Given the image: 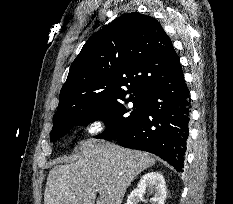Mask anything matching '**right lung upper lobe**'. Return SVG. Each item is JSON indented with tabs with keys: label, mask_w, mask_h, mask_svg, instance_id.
Masks as SVG:
<instances>
[{
	"label": "right lung upper lobe",
	"mask_w": 233,
	"mask_h": 204,
	"mask_svg": "<svg viewBox=\"0 0 233 204\" xmlns=\"http://www.w3.org/2000/svg\"><path fill=\"white\" fill-rule=\"evenodd\" d=\"M179 62L155 18L138 12L122 15L93 34L72 63L53 123L128 93L146 96Z\"/></svg>",
	"instance_id": "right-lung-upper-lobe-1"
}]
</instances>
